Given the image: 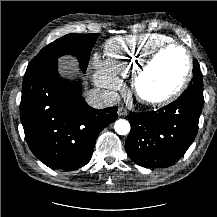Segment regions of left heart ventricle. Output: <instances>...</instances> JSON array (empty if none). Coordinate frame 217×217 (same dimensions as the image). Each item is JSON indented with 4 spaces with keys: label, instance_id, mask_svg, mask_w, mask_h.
Returning <instances> with one entry per match:
<instances>
[{
    "label": "left heart ventricle",
    "instance_id": "obj_1",
    "mask_svg": "<svg viewBox=\"0 0 217 217\" xmlns=\"http://www.w3.org/2000/svg\"><path fill=\"white\" fill-rule=\"evenodd\" d=\"M187 71V58L180 49L163 52L147 71L139 84L140 93L157 98L172 92Z\"/></svg>",
    "mask_w": 217,
    "mask_h": 217
}]
</instances>
